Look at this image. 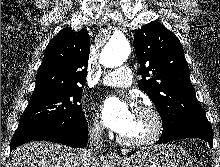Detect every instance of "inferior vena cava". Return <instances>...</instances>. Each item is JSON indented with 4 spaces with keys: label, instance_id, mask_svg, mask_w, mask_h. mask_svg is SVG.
<instances>
[{
    "label": "inferior vena cava",
    "instance_id": "1",
    "mask_svg": "<svg viewBox=\"0 0 220 167\" xmlns=\"http://www.w3.org/2000/svg\"><path fill=\"white\" fill-rule=\"evenodd\" d=\"M103 129L104 126L98 122L89 129L88 147L79 152L81 167H92L97 160L96 153L103 146Z\"/></svg>",
    "mask_w": 220,
    "mask_h": 167
}]
</instances>
